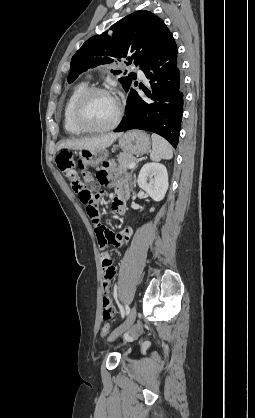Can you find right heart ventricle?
I'll use <instances>...</instances> for the list:
<instances>
[{
	"label": "right heart ventricle",
	"mask_w": 255,
	"mask_h": 418,
	"mask_svg": "<svg viewBox=\"0 0 255 418\" xmlns=\"http://www.w3.org/2000/svg\"><path fill=\"white\" fill-rule=\"evenodd\" d=\"M88 88V82H80L74 86L69 97L67 98L63 108V127L69 135L77 136L83 133L78 127L75 126L72 120V112L74 104L80 94Z\"/></svg>",
	"instance_id": "1"
}]
</instances>
